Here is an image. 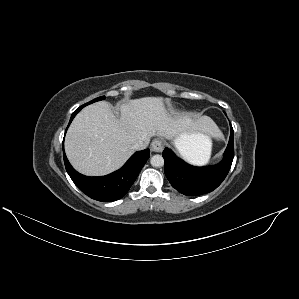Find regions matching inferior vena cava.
I'll return each instance as SVG.
<instances>
[{"label": "inferior vena cava", "mask_w": 299, "mask_h": 299, "mask_svg": "<svg viewBox=\"0 0 299 299\" xmlns=\"http://www.w3.org/2000/svg\"><path fill=\"white\" fill-rule=\"evenodd\" d=\"M149 144V140L147 139H142V140H138L134 145H133V149L135 150H143L145 149Z\"/></svg>", "instance_id": "obj_1"}]
</instances>
